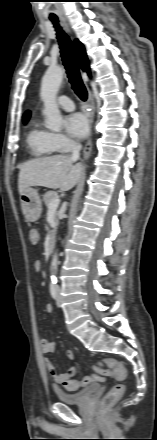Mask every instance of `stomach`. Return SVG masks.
I'll list each match as a JSON object with an SVG mask.
<instances>
[{
  "label": "stomach",
  "instance_id": "stomach-1",
  "mask_svg": "<svg viewBox=\"0 0 157 440\" xmlns=\"http://www.w3.org/2000/svg\"><path fill=\"white\" fill-rule=\"evenodd\" d=\"M20 204L25 218L34 222L37 221L42 213V203L37 190L33 188L26 189L20 195Z\"/></svg>",
  "mask_w": 157,
  "mask_h": 440
}]
</instances>
